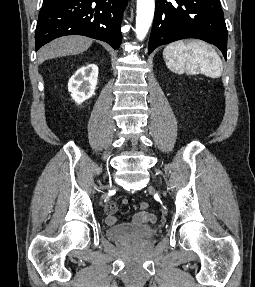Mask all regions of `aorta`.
Returning a JSON list of instances; mask_svg holds the SVG:
<instances>
[{"label": "aorta", "mask_w": 255, "mask_h": 287, "mask_svg": "<svg viewBox=\"0 0 255 287\" xmlns=\"http://www.w3.org/2000/svg\"><path fill=\"white\" fill-rule=\"evenodd\" d=\"M155 0H137L136 35L143 40L154 16Z\"/></svg>", "instance_id": "aorta-1"}]
</instances>
